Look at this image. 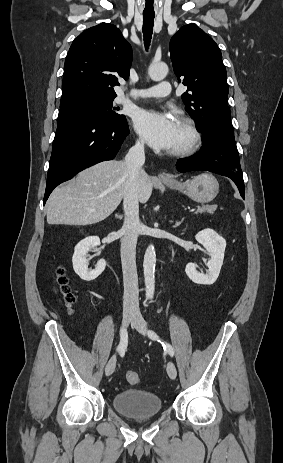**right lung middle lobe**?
Masks as SVG:
<instances>
[{"label": "right lung middle lobe", "instance_id": "right-lung-middle-lobe-1", "mask_svg": "<svg viewBox=\"0 0 283 463\" xmlns=\"http://www.w3.org/2000/svg\"><path fill=\"white\" fill-rule=\"evenodd\" d=\"M115 97H94L87 98L71 105L60 108L57 126L68 123L72 120L91 117L105 120H120L124 115L113 111L112 101Z\"/></svg>", "mask_w": 283, "mask_h": 463}]
</instances>
